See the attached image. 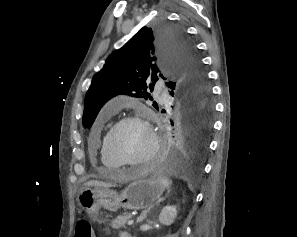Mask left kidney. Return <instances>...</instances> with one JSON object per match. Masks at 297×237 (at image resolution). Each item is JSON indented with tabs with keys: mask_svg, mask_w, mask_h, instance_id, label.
Returning <instances> with one entry per match:
<instances>
[{
	"mask_svg": "<svg viewBox=\"0 0 297 237\" xmlns=\"http://www.w3.org/2000/svg\"><path fill=\"white\" fill-rule=\"evenodd\" d=\"M177 217V210L175 206H165L159 215V222L163 225H171Z\"/></svg>",
	"mask_w": 297,
	"mask_h": 237,
	"instance_id": "obj_1",
	"label": "left kidney"
}]
</instances>
